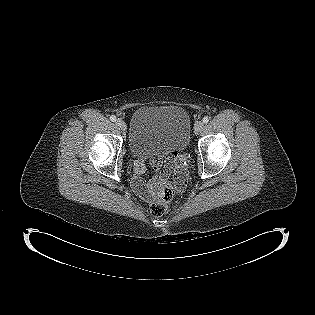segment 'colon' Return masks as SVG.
Instances as JSON below:
<instances>
[{"instance_id": "1", "label": "colon", "mask_w": 315, "mask_h": 315, "mask_svg": "<svg viewBox=\"0 0 315 315\" xmlns=\"http://www.w3.org/2000/svg\"><path fill=\"white\" fill-rule=\"evenodd\" d=\"M185 183L183 176H178L173 181L167 179L159 188L151 204V213L156 217L164 215L168 209L169 202L177 191H181L184 188Z\"/></svg>"}]
</instances>
